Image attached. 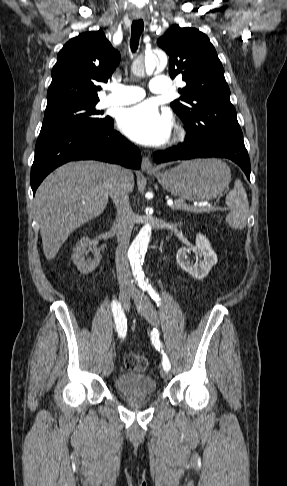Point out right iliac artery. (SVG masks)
I'll use <instances>...</instances> for the list:
<instances>
[{
    "instance_id": "1",
    "label": "right iliac artery",
    "mask_w": 287,
    "mask_h": 486,
    "mask_svg": "<svg viewBox=\"0 0 287 486\" xmlns=\"http://www.w3.org/2000/svg\"><path fill=\"white\" fill-rule=\"evenodd\" d=\"M112 311L115 319L116 329L119 337L124 338L127 331V320L120 303L114 301L112 303Z\"/></svg>"
}]
</instances>
